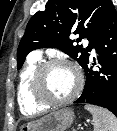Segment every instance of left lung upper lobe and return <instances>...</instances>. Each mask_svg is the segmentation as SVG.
<instances>
[{"label": "left lung upper lobe", "instance_id": "obj_1", "mask_svg": "<svg viewBox=\"0 0 117 131\" xmlns=\"http://www.w3.org/2000/svg\"><path fill=\"white\" fill-rule=\"evenodd\" d=\"M111 5V0H49L27 24L17 50V68L22 67L30 51L42 47L58 48L84 68ZM71 32L79 38L69 39ZM82 39L89 41L86 48L74 45Z\"/></svg>", "mask_w": 117, "mask_h": 131}]
</instances>
